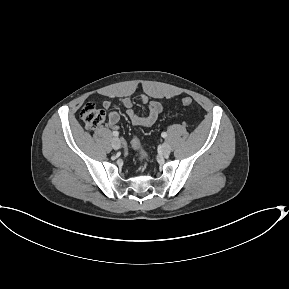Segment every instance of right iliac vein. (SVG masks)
<instances>
[{"label":"right iliac vein","mask_w":289,"mask_h":289,"mask_svg":"<svg viewBox=\"0 0 289 289\" xmlns=\"http://www.w3.org/2000/svg\"><path fill=\"white\" fill-rule=\"evenodd\" d=\"M121 146V143H120V140L119 138L115 137L113 138L112 140V147L115 149V150H118Z\"/></svg>","instance_id":"63e3f726"}]
</instances>
